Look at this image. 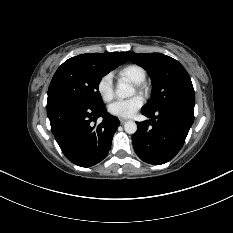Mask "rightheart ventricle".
Wrapping results in <instances>:
<instances>
[{
  "mask_svg": "<svg viewBox=\"0 0 233 233\" xmlns=\"http://www.w3.org/2000/svg\"><path fill=\"white\" fill-rule=\"evenodd\" d=\"M118 76L137 84L143 83L146 80L147 73L141 65L128 64L118 70Z\"/></svg>",
  "mask_w": 233,
  "mask_h": 233,
  "instance_id": "e07e8e85",
  "label": "right heart ventricle"
}]
</instances>
